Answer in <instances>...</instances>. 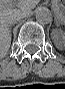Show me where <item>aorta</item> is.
<instances>
[{"instance_id": "762f6f07", "label": "aorta", "mask_w": 65, "mask_h": 89, "mask_svg": "<svg viewBox=\"0 0 65 89\" xmlns=\"http://www.w3.org/2000/svg\"><path fill=\"white\" fill-rule=\"evenodd\" d=\"M35 17L40 24H49L52 21V13L47 7L38 8Z\"/></svg>"}]
</instances>
